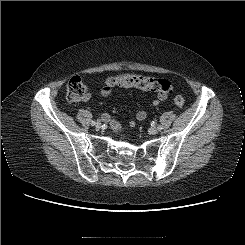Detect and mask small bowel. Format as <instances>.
<instances>
[{
    "mask_svg": "<svg viewBox=\"0 0 245 245\" xmlns=\"http://www.w3.org/2000/svg\"><path fill=\"white\" fill-rule=\"evenodd\" d=\"M111 93V90L108 89L107 87H103L101 90H100V94L101 96L103 97H107L109 96ZM167 98V95H164V94H158V97L157 99L153 100L150 104V106L152 107H155V106H158L160 105L161 102H163L165 99ZM90 99V95L89 94H86L85 97L83 98L84 101H87ZM147 117V112L145 110H140L137 112L136 114V119L139 120V121H142L144 119H146ZM110 119L109 115L107 114H103L102 115V120L104 121H108ZM129 125L131 127H134L135 126V122L133 120H130L129 121Z\"/></svg>",
    "mask_w": 245,
    "mask_h": 245,
    "instance_id": "1",
    "label": "small bowel"
}]
</instances>
